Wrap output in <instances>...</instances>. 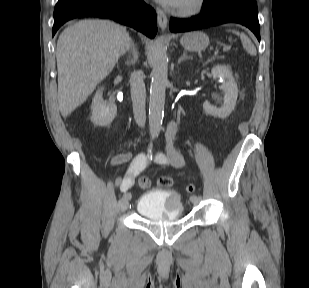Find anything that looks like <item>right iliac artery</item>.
<instances>
[{
  "label": "right iliac artery",
  "mask_w": 309,
  "mask_h": 288,
  "mask_svg": "<svg viewBox=\"0 0 309 288\" xmlns=\"http://www.w3.org/2000/svg\"><path fill=\"white\" fill-rule=\"evenodd\" d=\"M151 149H152V145H150L149 149H148V157H150L152 159V154H151ZM125 198V199H131L132 198V193L131 192H126V193H122V197L120 198Z\"/></svg>",
  "instance_id": "obj_1"
}]
</instances>
